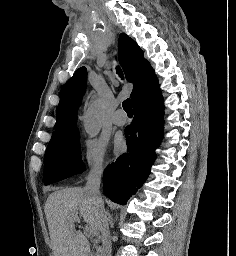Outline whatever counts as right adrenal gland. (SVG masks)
<instances>
[{
  "instance_id": "2a0ac1e0",
  "label": "right adrenal gland",
  "mask_w": 236,
  "mask_h": 256,
  "mask_svg": "<svg viewBox=\"0 0 236 256\" xmlns=\"http://www.w3.org/2000/svg\"><path fill=\"white\" fill-rule=\"evenodd\" d=\"M108 218H109V222H110V226L111 228H114V222H113V218L112 216H110L109 212H106Z\"/></svg>"
}]
</instances>
